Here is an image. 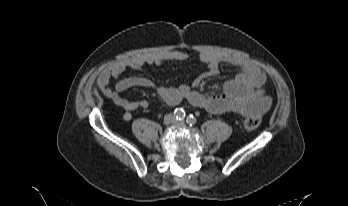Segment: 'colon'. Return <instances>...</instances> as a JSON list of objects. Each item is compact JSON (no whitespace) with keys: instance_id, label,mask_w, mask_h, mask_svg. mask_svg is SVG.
Masks as SVG:
<instances>
[{"instance_id":"5ec220e1","label":"colon","mask_w":348,"mask_h":206,"mask_svg":"<svg viewBox=\"0 0 348 206\" xmlns=\"http://www.w3.org/2000/svg\"><path fill=\"white\" fill-rule=\"evenodd\" d=\"M261 124V118L259 115H250L245 118L244 126L247 130H255Z\"/></svg>"}]
</instances>
